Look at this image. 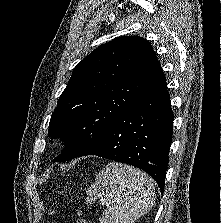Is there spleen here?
Returning <instances> with one entry per match:
<instances>
[{
    "label": "spleen",
    "mask_w": 221,
    "mask_h": 223,
    "mask_svg": "<svg viewBox=\"0 0 221 223\" xmlns=\"http://www.w3.org/2000/svg\"><path fill=\"white\" fill-rule=\"evenodd\" d=\"M86 202L101 199L106 210L100 223H134L147 213L155 202L153 180L131 166L109 162L86 191Z\"/></svg>",
    "instance_id": "1"
}]
</instances>
